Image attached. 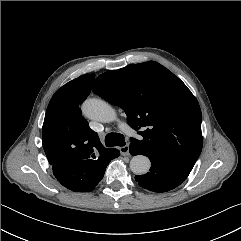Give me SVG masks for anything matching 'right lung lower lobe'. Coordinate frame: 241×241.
Instances as JSON below:
<instances>
[{
	"mask_svg": "<svg viewBox=\"0 0 241 241\" xmlns=\"http://www.w3.org/2000/svg\"><path fill=\"white\" fill-rule=\"evenodd\" d=\"M118 155L119 151L113 149L109 156L97 160H69L50 164L54 176L64 187L74 192H89L103 178L109 162Z\"/></svg>",
	"mask_w": 241,
	"mask_h": 241,
	"instance_id": "98d812e1",
	"label": "right lung lower lobe"
}]
</instances>
